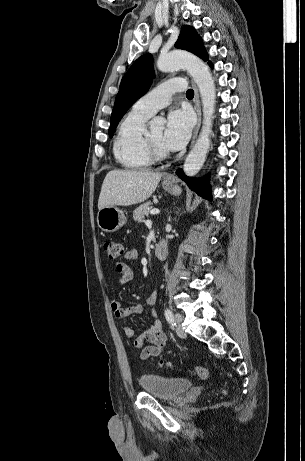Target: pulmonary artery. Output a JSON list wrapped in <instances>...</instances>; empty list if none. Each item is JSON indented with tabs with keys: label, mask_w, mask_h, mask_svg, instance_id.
<instances>
[{
	"label": "pulmonary artery",
	"mask_w": 305,
	"mask_h": 461,
	"mask_svg": "<svg viewBox=\"0 0 305 461\" xmlns=\"http://www.w3.org/2000/svg\"><path fill=\"white\" fill-rule=\"evenodd\" d=\"M185 88L186 83L183 78L169 79L136 101L133 105V110L152 116L170 103L172 94L182 92Z\"/></svg>",
	"instance_id": "1"
}]
</instances>
